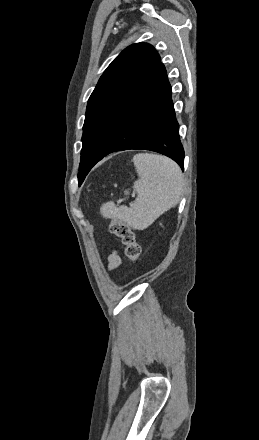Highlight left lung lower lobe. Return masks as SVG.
Instances as JSON below:
<instances>
[{
	"instance_id": "0a47b994",
	"label": "left lung lower lobe",
	"mask_w": 259,
	"mask_h": 440,
	"mask_svg": "<svg viewBox=\"0 0 259 440\" xmlns=\"http://www.w3.org/2000/svg\"><path fill=\"white\" fill-rule=\"evenodd\" d=\"M171 94L165 67L160 62L149 84L121 120L96 163L115 151L144 149L170 157L183 170L184 150Z\"/></svg>"
}]
</instances>
